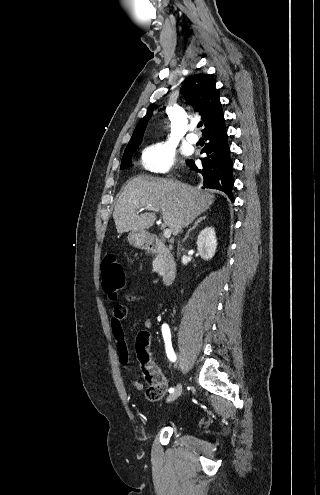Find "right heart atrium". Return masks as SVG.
Returning <instances> with one entry per match:
<instances>
[{
  "mask_svg": "<svg viewBox=\"0 0 320 495\" xmlns=\"http://www.w3.org/2000/svg\"><path fill=\"white\" fill-rule=\"evenodd\" d=\"M176 151L167 141H158L147 146L141 154L142 166L153 173H168L175 165Z\"/></svg>",
  "mask_w": 320,
  "mask_h": 495,
  "instance_id": "1",
  "label": "right heart atrium"
}]
</instances>
